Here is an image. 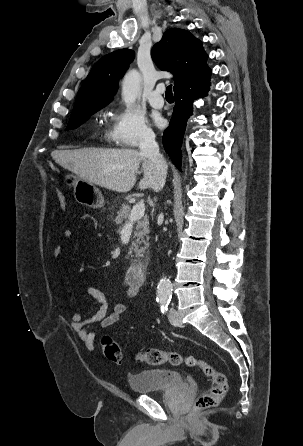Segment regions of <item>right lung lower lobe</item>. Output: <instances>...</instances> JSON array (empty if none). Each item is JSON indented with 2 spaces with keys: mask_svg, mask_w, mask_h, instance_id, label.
<instances>
[{
  "mask_svg": "<svg viewBox=\"0 0 303 446\" xmlns=\"http://www.w3.org/2000/svg\"><path fill=\"white\" fill-rule=\"evenodd\" d=\"M210 75L194 81L174 91L175 107L171 122L163 133V145L175 166L181 168V144L186 122L192 115L193 101L207 95L210 88Z\"/></svg>",
  "mask_w": 303,
  "mask_h": 446,
  "instance_id": "obj_1",
  "label": "right lung lower lobe"
}]
</instances>
